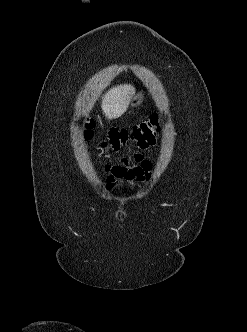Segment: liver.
I'll list each match as a JSON object with an SVG mask.
<instances>
[{
  "instance_id": "liver-1",
  "label": "liver",
  "mask_w": 247,
  "mask_h": 332,
  "mask_svg": "<svg viewBox=\"0 0 247 332\" xmlns=\"http://www.w3.org/2000/svg\"><path fill=\"white\" fill-rule=\"evenodd\" d=\"M134 95L135 88L132 85L124 84L111 88L104 95L101 104L106 118L112 120L123 115Z\"/></svg>"
}]
</instances>
